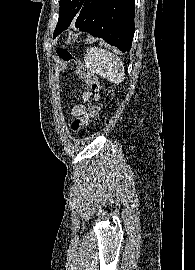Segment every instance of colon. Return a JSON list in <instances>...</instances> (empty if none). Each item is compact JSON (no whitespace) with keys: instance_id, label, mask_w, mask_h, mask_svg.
I'll list each match as a JSON object with an SVG mask.
<instances>
[{"instance_id":"1","label":"colon","mask_w":195,"mask_h":270,"mask_svg":"<svg viewBox=\"0 0 195 270\" xmlns=\"http://www.w3.org/2000/svg\"><path fill=\"white\" fill-rule=\"evenodd\" d=\"M56 54L62 62L75 65L77 74L84 80V82L93 92L97 93L100 91V81L97 76L91 72L86 67V65L77 59L69 50L60 47L56 50ZM97 112L98 107L96 105H92L85 115L76 118L72 122V130L76 133L81 132L86 127V125L96 117Z\"/></svg>"}]
</instances>
